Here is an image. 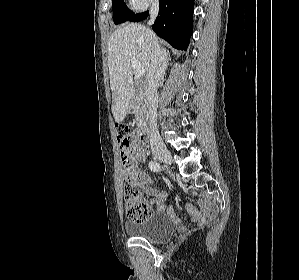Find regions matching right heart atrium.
<instances>
[{
    "mask_svg": "<svg viewBox=\"0 0 299 280\" xmlns=\"http://www.w3.org/2000/svg\"><path fill=\"white\" fill-rule=\"evenodd\" d=\"M156 1L157 0H129L131 7L137 11L145 10Z\"/></svg>",
    "mask_w": 299,
    "mask_h": 280,
    "instance_id": "d8ad5b80",
    "label": "right heart atrium"
}]
</instances>
